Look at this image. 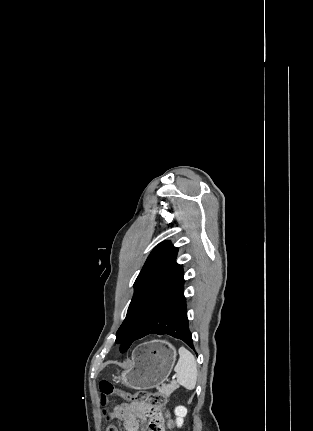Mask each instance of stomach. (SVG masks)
<instances>
[{"mask_svg":"<svg viewBox=\"0 0 313 431\" xmlns=\"http://www.w3.org/2000/svg\"><path fill=\"white\" fill-rule=\"evenodd\" d=\"M175 360L176 350L168 342L162 340L144 342L135 348L130 367L116 379L133 389H151L168 378Z\"/></svg>","mask_w":313,"mask_h":431,"instance_id":"stomach-1","label":"stomach"}]
</instances>
